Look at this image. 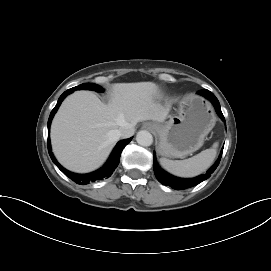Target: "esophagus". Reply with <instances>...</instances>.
<instances>
[{
  "label": "esophagus",
  "mask_w": 271,
  "mask_h": 271,
  "mask_svg": "<svg viewBox=\"0 0 271 271\" xmlns=\"http://www.w3.org/2000/svg\"><path fill=\"white\" fill-rule=\"evenodd\" d=\"M146 126H147V128H151V127H152V124L147 123Z\"/></svg>",
  "instance_id": "esophagus-1"
}]
</instances>
